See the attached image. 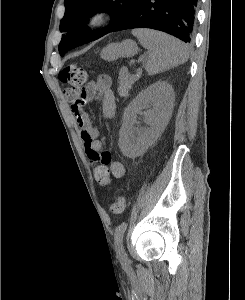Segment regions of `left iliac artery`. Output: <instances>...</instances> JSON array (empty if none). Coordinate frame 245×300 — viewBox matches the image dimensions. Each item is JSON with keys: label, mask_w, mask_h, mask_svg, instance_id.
<instances>
[{"label": "left iliac artery", "mask_w": 245, "mask_h": 300, "mask_svg": "<svg viewBox=\"0 0 245 300\" xmlns=\"http://www.w3.org/2000/svg\"><path fill=\"white\" fill-rule=\"evenodd\" d=\"M127 228V223H121L115 231V248L118 254V257L122 264H127L128 260L126 257V253L123 247V236Z\"/></svg>", "instance_id": "1"}]
</instances>
